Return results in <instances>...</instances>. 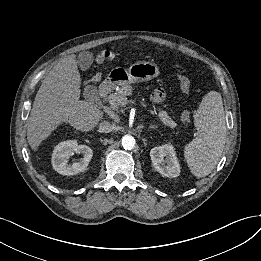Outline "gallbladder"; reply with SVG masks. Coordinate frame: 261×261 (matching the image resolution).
<instances>
[{"label": "gallbladder", "instance_id": "obj_1", "mask_svg": "<svg viewBox=\"0 0 261 261\" xmlns=\"http://www.w3.org/2000/svg\"><path fill=\"white\" fill-rule=\"evenodd\" d=\"M78 65L82 71L89 69L90 65L93 62L92 54L81 53L78 57ZM85 99L93 104L98 102L97 90L93 86H87L84 91Z\"/></svg>", "mask_w": 261, "mask_h": 261}]
</instances>
